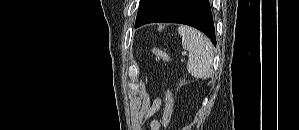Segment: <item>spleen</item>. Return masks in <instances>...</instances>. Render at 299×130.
I'll return each mask as SVG.
<instances>
[{"label":"spleen","instance_id":"1","mask_svg":"<svg viewBox=\"0 0 299 130\" xmlns=\"http://www.w3.org/2000/svg\"><path fill=\"white\" fill-rule=\"evenodd\" d=\"M178 33L182 37V46L189 52L188 73L196 79L210 76L213 62V49L210 40L200 31L180 25Z\"/></svg>","mask_w":299,"mask_h":130}]
</instances>
